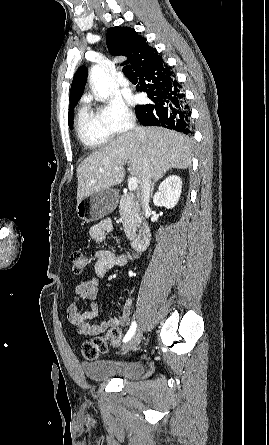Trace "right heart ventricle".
Masks as SVG:
<instances>
[{
  "instance_id": "obj_1",
  "label": "right heart ventricle",
  "mask_w": 269,
  "mask_h": 445,
  "mask_svg": "<svg viewBox=\"0 0 269 445\" xmlns=\"http://www.w3.org/2000/svg\"><path fill=\"white\" fill-rule=\"evenodd\" d=\"M75 129L81 144L89 149L106 144L112 136L100 121L97 113L85 103H82L77 110Z\"/></svg>"
}]
</instances>
